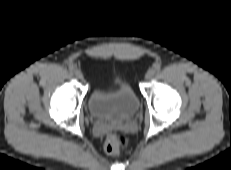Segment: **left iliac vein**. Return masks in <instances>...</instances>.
Returning <instances> with one entry per match:
<instances>
[{"label": "left iliac vein", "mask_w": 231, "mask_h": 170, "mask_svg": "<svg viewBox=\"0 0 231 170\" xmlns=\"http://www.w3.org/2000/svg\"><path fill=\"white\" fill-rule=\"evenodd\" d=\"M154 75H155V71L153 69H149L145 74V79L150 80L153 78Z\"/></svg>", "instance_id": "obj_1"}]
</instances>
